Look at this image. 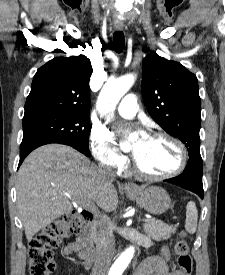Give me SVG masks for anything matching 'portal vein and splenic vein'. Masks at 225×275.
Instances as JSON below:
<instances>
[{
	"mask_svg": "<svg viewBox=\"0 0 225 275\" xmlns=\"http://www.w3.org/2000/svg\"><path fill=\"white\" fill-rule=\"evenodd\" d=\"M83 206H85V207H92V205H90L89 203H85Z\"/></svg>",
	"mask_w": 225,
	"mask_h": 275,
	"instance_id": "18ae733b",
	"label": "portal vein and splenic vein"
}]
</instances>
